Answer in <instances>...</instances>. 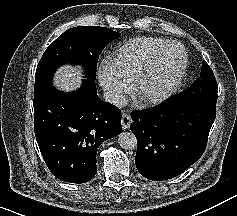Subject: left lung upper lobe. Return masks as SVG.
<instances>
[{
    "label": "left lung upper lobe",
    "mask_w": 237,
    "mask_h": 216,
    "mask_svg": "<svg viewBox=\"0 0 237 216\" xmlns=\"http://www.w3.org/2000/svg\"><path fill=\"white\" fill-rule=\"evenodd\" d=\"M217 90L218 87L212 70L204 60L200 77L179 96L216 108Z\"/></svg>",
    "instance_id": "5c2ea615"
}]
</instances>
